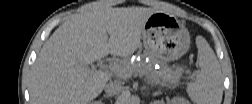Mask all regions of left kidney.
Returning <instances> with one entry per match:
<instances>
[{
	"instance_id": "left-kidney-1",
	"label": "left kidney",
	"mask_w": 252,
	"mask_h": 104,
	"mask_svg": "<svg viewBox=\"0 0 252 104\" xmlns=\"http://www.w3.org/2000/svg\"><path fill=\"white\" fill-rule=\"evenodd\" d=\"M173 103H181V104H185L187 103V101L184 98H179V97H175L172 99Z\"/></svg>"
}]
</instances>
